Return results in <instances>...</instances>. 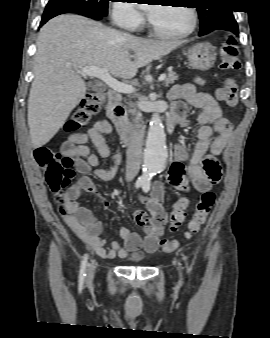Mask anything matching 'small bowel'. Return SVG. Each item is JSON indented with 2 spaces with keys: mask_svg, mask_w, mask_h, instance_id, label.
<instances>
[{
  "mask_svg": "<svg viewBox=\"0 0 270 338\" xmlns=\"http://www.w3.org/2000/svg\"><path fill=\"white\" fill-rule=\"evenodd\" d=\"M205 83L204 79L197 78L195 83L175 85L169 92V100L172 102L173 109L170 119L174 125H189L190 121L182 114L186 105L199 110L196 116V122L199 125L197 141L193 145L192 151L189 152L183 144L177 143L173 149L174 161L167 170L168 185L181 192L186 191V174L190 176L192 189L197 193L209 191L212 184L219 181L221 170L219 175L215 177L206 172L202 164L206 158H212L217 162V157L223 153L232 137L233 130L230 125L227 129H218L217 124L223 119L218 101L211 94L197 90V86H204ZM112 131V124L107 119H101L96 121L86 133H73L63 143L61 154L63 157L72 158L80 177L67 189L64 195L58 197L61 212L72 231L98 256L108 260L124 256L128 251L140 252L144 250L146 253H154L157 250L165 221V211L162 205L164 187L159 181L153 183L150 199H146L142 195L139 196L140 200L146 204L149 213V219L142 224L144 225V238L122 228L121 235L124 243L111 241L107 245L106 240L101 236L102 223L90 211L79 205L78 201L84 193L97 195L93 177L107 181L117 171L120 154L111 155V149L105 139ZM215 132L216 136L213 138ZM88 143H92L96 147L97 154L91 153ZM99 157L104 159L111 157L110 167L93 170L99 163ZM188 157L189 162L185 166L183 161ZM97 197L101 204L107 207V201ZM143 213L146 212L135 210L132 216L140 223Z\"/></svg>",
  "mask_w": 270,
  "mask_h": 338,
  "instance_id": "1",
  "label": "small bowel"
}]
</instances>
